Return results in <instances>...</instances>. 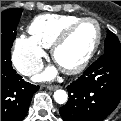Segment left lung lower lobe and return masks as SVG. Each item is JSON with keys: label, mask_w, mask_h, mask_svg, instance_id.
I'll return each instance as SVG.
<instances>
[{"label": "left lung lower lobe", "mask_w": 121, "mask_h": 121, "mask_svg": "<svg viewBox=\"0 0 121 121\" xmlns=\"http://www.w3.org/2000/svg\"><path fill=\"white\" fill-rule=\"evenodd\" d=\"M67 90L68 102L59 109L65 121H102L121 98V53L102 55Z\"/></svg>", "instance_id": "1"}]
</instances>
